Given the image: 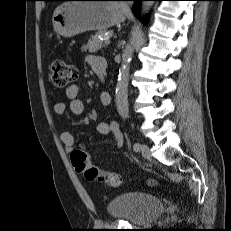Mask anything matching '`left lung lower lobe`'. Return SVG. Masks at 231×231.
<instances>
[{
	"mask_svg": "<svg viewBox=\"0 0 231 231\" xmlns=\"http://www.w3.org/2000/svg\"><path fill=\"white\" fill-rule=\"evenodd\" d=\"M121 1H134L133 5V13L135 14L136 17H138L139 9H140V3L142 1H147V0H121ZM152 1H159V0H152Z\"/></svg>",
	"mask_w": 231,
	"mask_h": 231,
	"instance_id": "left-lung-lower-lobe-1",
	"label": "left lung lower lobe"
}]
</instances>
